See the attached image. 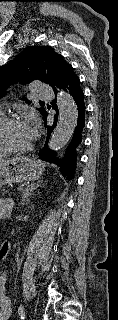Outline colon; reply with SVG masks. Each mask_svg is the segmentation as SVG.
<instances>
[{
	"instance_id": "colon-1",
	"label": "colon",
	"mask_w": 118,
	"mask_h": 320,
	"mask_svg": "<svg viewBox=\"0 0 118 320\" xmlns=\"http://www.w3.org/2000/svg\"><path fill=\"white\" fill-rule=\"evenodd\" d=\"M5 257V253H0V259Z\"/></svg>"
}]
</instances>
